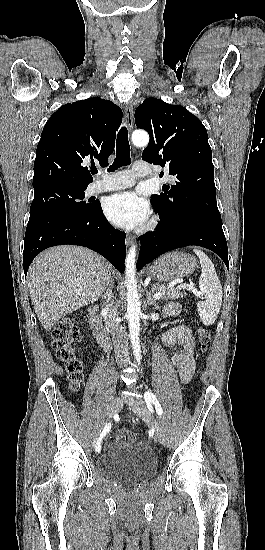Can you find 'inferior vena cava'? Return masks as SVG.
<instances>
[{
  "label": "inferior vena cava",
  "mask_w": 265,
  "mask_h": 550,
  "mask_svg": "<svg viewBox=\"0 0 265 550\" xmlns=\"http://www.w3.org/2000/svg\"><path fill=\"white\" fill-rule=\"evenodd\" d=\"M104 311L106 312L105 324L110 329L113 340L116 362L118 367L122 368L130 362L127 333L124 327L120 324L118 320V312L116 308L113 307L112 303L107 302L104 307Z\"/></svg>",
  "instance_id": "obj_1"
}]
</instances>
